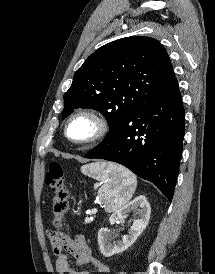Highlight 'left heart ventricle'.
<instances>
[{"mask_svg": "<svg viewBox=\"0 0 215 274\" xmlns=\"http://www.w3.org/2000/svg\"><path fill=\"white\" fill-rule=\"evenodd\" d=\"M95 130L93 122L85 117L73 120L68 127V135L74 140H84Z\"/></svg>", "mask_w": 215, "mask_h": 274, "instance_id": "1", "label": "left heart ventricle"}]
</instances>
